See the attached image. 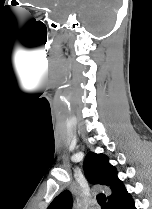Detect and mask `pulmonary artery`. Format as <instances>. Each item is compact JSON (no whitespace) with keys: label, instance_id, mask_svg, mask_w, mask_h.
Segmentation results:
<instances>
[{"label":"pulmonary artery","instance_id":"1","mask_svg":"<svg viewBox=\"0 0 152 209\" xmlns=\"http://www.w3.org/2000/svg\"><path fill=\"white\" fill-rule=\"evenodd\" d=\"M90 209H98L96 206L91 207Z\"/></svg>","mask_w":152,"mask_h":209}]
</instances>
